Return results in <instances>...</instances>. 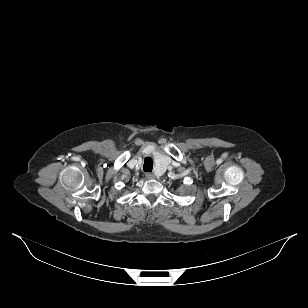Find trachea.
<instances>
[{"label": "trachea", "mask_w": 308, "mask_h": 308, "mask_svg": "<svg viewBox=\"0 0 308 308\" xmlns=\"http://www.w3.org/2000/svg\"><path fill=\"white\" fill-rule=\"evenodd\" d=\"M152 168H153V160L150 157H146L143 165L144 171L151 172Z\"/></svg>", "instance_id": "obj_1"}]
</instances>
